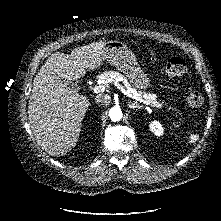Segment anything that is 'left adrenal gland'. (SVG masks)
I'll use <instances>...</instances> for the list:
<instances>
[{
	"mask_svg": "<svg viewBox=\"0 0 221 221\" xmlns=\"http://www.w3.org/2000/svg\"><path fill=\"white\" fill-rule=\"evenodd\" d=\"M127 105H128L129 108H131V109H135V108L140 109V108H141V106L136 105V104H134V103H129V102H128Z\"/></svg>",
	"mask_w": 221,
	"mask_h": 221,
	"instance_id": "a2214340",
	"label": "left adrenal gland"
}]
</instances>
